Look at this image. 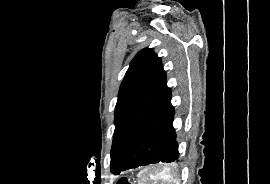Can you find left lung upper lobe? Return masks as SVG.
I'll return each mask as SVG.
<instances>
[{"instance_id": "1", "label": "left lung upper lobe", "mask_w": 270, "mask_h": 184, "mask_svg": "<svg viewBox=\"0 0 270 184\" xmlns=\"http://www.w3.org/2000/svg\"><path fill=\"white\" fill-rule=\"evenodd\" d=\"M169 91L161 59L153 49L145 48L138 52L121 83L115 107L112 173L121 167L130 148Z\"/></svg>"}]
</instances>
